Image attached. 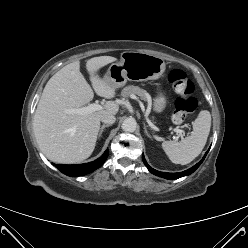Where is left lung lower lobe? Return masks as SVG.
<instances>
[{
  "instance_id": "obj_1",
  "label": "left lung lower lobe",
  "mask_w": 248,
  "mask_h": 248,
  "mask_svg": "<svg viewBox=\"0 0 248 248\" xmlns=\"http://www.w3.org/2000/svg\"><path fill=\"white\" fill-rule=\"evenodd\" d=\"M207 153H208V151L206 152V154L204 155V157L202 158V160L200 162H198L196 165H194L193 167H191L190 169H188L186 171L179 172V173H167V172L157 171V170L151 168L147 164L144 155L142 156V159H143V162H144L145 166L148 168V170L152 174H154L156 176H159V177H162V178H166V179H178L180 177L187 176V175H190L191 173H193L200 166V164L203 162V160L206 157Z\"/></svg>"
}]
</instances>
